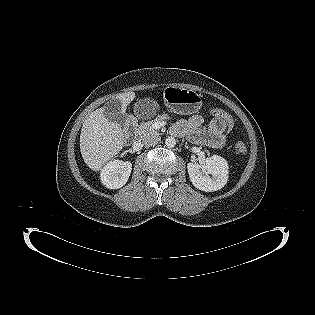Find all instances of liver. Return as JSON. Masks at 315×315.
Instances as JSON below:
<instances>
[{"instance_id":"obj_1","label":"liver","mask_w":315,"mask_h":315,"mask_svg":"<svg viewBox=\"0 0 315 315\" xmlns=\"http://www.w3.org/2000/svg\"><path fill=\"white\" fill-rule=\"evenodd\" d=\"M135 98L133 92L121 93L116 99L125 113ZM126 136L119 123L104 116V108H98L85 119L80 134V151L84 162L93 171H99L124 147Z\"/></svg>"}]
</instances>
